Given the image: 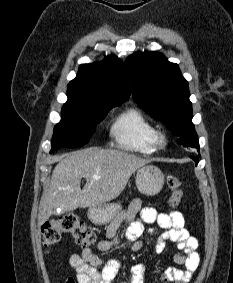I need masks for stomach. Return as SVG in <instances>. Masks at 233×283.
<instances>
[{
    "label": "stomach",
    "instance_id": "0dacf381",
    "mask_svg": "<svg viewBox=\"0 0 233 283\" xmlns=\"http://www.w3.org/2000/svg\"><path fill=\"white\" fill-rule=\"evenodd\" d=\"M136 186L140 193L147 196L157 195L164 185V174L154 165H144L137 170ZM121 210L118 203L103 204L88 210L89 219L95 224L109 223Z\"/></svg>",
    "mask_w": 233,
    "mask_h": 283
}]
</instances>
